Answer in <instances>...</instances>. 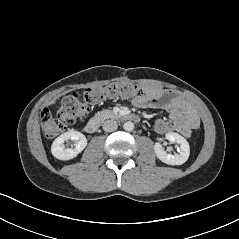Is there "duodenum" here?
Instances as JSON below:
<instances>
[{
	"label": "duodenum",
	"mask_w": 239,
	"mask_h": 239,
	"mask_svg": "<svg viewBox=\"0 0 239 239\" xmlns=\"http://www.w3.org/2000/svg\"><path fill=\"white\" fill-rule=\"evenodd\" d=\"M120 117L124 120H130V121L139 120V116L134 113H123L120 115ZM100 124H101V118L93 117L85 125V131L87 133H95L99 129Z\"/></svg>",
	"instance_id": "duodenum-1"
}]
</instances>
